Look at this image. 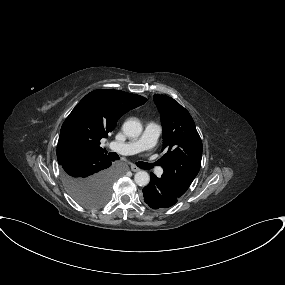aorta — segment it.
Segmentation results:
<instances>
[{
  "mask_svg": "<svg viewBox=\"0 0 285 285\" xmlns=\"http://www.w3.org/2000/svg\"><path fill=\"white\" fill-rule=\"evenodd\" d=\"M122 130L127 137L135 138L142 133V124L136 118H130L124 122ZM134 181L139 186H146L150 181V176L146 171H139L134 176Z\"/></svg>",
  "mask_w": 285,
  "mask_h": 285,
  "instance_id": "762f6f07",
  "label": "aorta"
}]
</instances>
